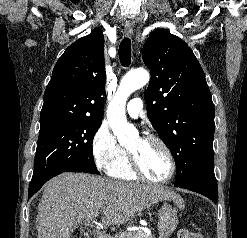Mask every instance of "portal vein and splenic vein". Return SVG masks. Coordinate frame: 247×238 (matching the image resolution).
<instances>
[{"label": "portal vein and splenic vein", "instance_id": "obj_1", "mask_svg": "<svg viewBox=\"0 0 247 238\" xmlns=\"http://www.w3.org/2000/svg\"><path fill=\"white\" fill-rule=\"evenodd\" d=\"M97 216V214H96ZM90 221H93V219H88L86 222H85V225H89L90 224ZM97 235L99 236L98 238H105V235H103L101 232L97 231L96 232Z\"/></svg>", "mask_w": 247, "mask_h": 238}]
</instances>
